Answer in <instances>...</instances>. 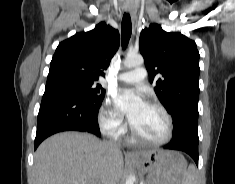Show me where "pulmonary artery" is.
Masks as SVG:
<instances>
[{"label": "pulmonary artery", "instance_id": "pulmonary-artery-1", "mask_svg": "<svg viewBox=\"0 0 235 184\" xmlns=\"http://www.w3.org/2000/svg\"><path fill=\"white\" fill-rule=\"evenodd\" d=\"M148 74V69H134L128 72L118 74L115 78L117 81L126 84H137L143 81Z\"/></svg>", "mask_w": 235, "mask_h": 184}]
</instances>
